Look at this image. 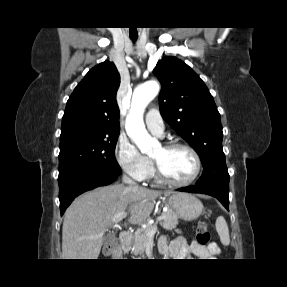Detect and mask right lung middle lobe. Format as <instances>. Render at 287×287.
Masks as SVG:
<instances>
[{"label": "right lung middle lobe", "instance_id": "1", "mask_svg": "<svg viewBox=\"0 0 287 287\" xmlns=\"http://www.w3.org/2000/svg\"><path fill=\"white\" fill-rule=\"evenodd\" d=\"M120 130L99 129L78 124L61 130L59 175L89 168L121 174L115 159V147Z\"/></svg>", "mask_w": 287, "mask_h": 287}]
</instances>
